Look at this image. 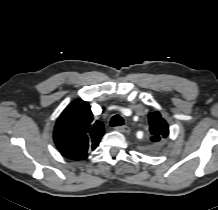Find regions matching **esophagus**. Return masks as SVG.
Segmentation results:
<instances>
[{
    "label": "esophagus",
    "instance_id": "34e87169",
    "mask_svg": "<svg viewBox=\"0 0 218 210\" xmlns=\"http://www.w3.org/2000/svg\"><path fill=\"white\" fill-rule=\"evenodd\" d=\"M117 131L121 132V133H129L130 129L128 126H119L116 128Z\"/></svg>",
    "mask_w": 218,
    "mask_h": 210
}]
</instances>
